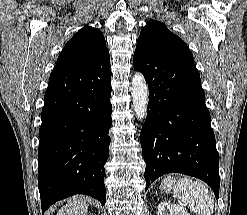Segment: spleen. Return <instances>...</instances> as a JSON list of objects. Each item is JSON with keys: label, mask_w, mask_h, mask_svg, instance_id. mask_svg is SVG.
Instances as JSON below:
<instances>
[{"label": "spleen", "mask_w": 247, "mask_h": 215, "mask_svg": "<svg viewBox=\"0 0 247 215\" xmlns=\"http://www.w3.org/2000/svg\"><path fill=\"white\" fill-rule=\"evenodd\" d=\"M173 191L179 204L188 205L196 215H212L214 198L202 181L186 177L180 178L174 181Z\"/></svg>", "instance_id": "1"}]
</instances>
